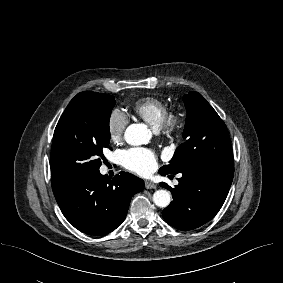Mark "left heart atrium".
<instances>
[{"label":"left heart atrium","instance_id":"39dd6f15","mask_svg":"<svg viewBox=\"0 0 283 283\" xmlns=\"http://www.w3.org/2000/svg\"><path fill=\"white\" fill-rule=\"evenodd\" d=\"M122 165L139 175H149L157 167L156 153L150 149L133 147L121 153Z\"/></svg>","mask_w":283,"mask_h":283}]
</instances>
